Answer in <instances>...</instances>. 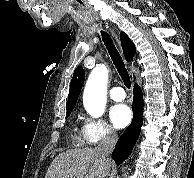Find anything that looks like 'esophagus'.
I'll return each mask as SVG.
<instances>
[{"label":"esophagus","mask_w":194,"mask_h":178,"mask_svg":"<svg viewBox=\"0 0 194 178\" xmlns=\"http://www.w3.org/2000/svg\"><path fill=\"white\" fill-rule=\"evenodd\" d=\"M106 27H109V26L106 24ZM110 31H111L112 35L116 38V40L119 44V38H118V35L115 33L114 29L110 28Z\"/></svg>","instance_id":"34e87169"}]
</instances>
